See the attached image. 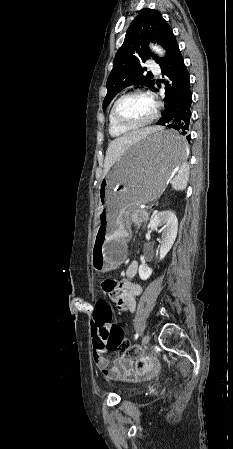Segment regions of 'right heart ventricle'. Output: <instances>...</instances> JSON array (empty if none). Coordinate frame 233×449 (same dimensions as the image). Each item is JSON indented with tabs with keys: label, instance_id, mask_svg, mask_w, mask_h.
Returning a JSON list of instances; mask_svg holds the SVG:
<instances>
[{
	"label": "right heart ventricle",
	"instance_id": "right-heart-ventricle-1",
	"mask_svg": "<svg viewBox=\"0 0 233 449\" xmlns=\"http://www.w3.org/2000/svg\"><path fill=\"white\" fill-rule=\"evenodd\" d=\"M108 130L112 137L117 138L126 135L130 130H124L119 128L112 120L111 110L108 116Z\"/></svg>",
	"mask_w": 233,
	"mask_h": 449
}]
</instances>
